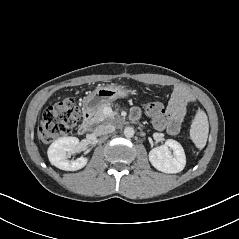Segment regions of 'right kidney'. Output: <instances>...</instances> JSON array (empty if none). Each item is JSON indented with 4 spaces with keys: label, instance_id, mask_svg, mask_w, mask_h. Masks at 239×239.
I'll return each mask as SVG.
<instances>
[{
    "label": "right kidney",
    "instance_id": "obj_1",
    "mask_svg": "<svg viewBox=\"0 0 239 239\" xmlns=\"http://www.w3.org/2000/svg\"><path fill=\"white\" fill-rule=\"evenodd\" d=\"M78 144L79 139L76 137H61L55 140L47 151L50 163L65 171L82 169L87 164L88 158L80 157L75 161L67 159V154L74 151Z\"/></svg>",
    "mask_w": 239,
    "mask_h": 239
}]
</instances>
